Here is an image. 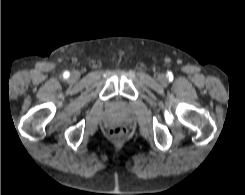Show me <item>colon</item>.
<instances>
[{
	"instance_id": "colon-1",
	"label": "colon",
	"mask_w": 245,
	"mask_h": 195,
	"mask_svg": "<svg viewBox=\"0 0 245 195\" xmlns=\"http://www.w3.org/2000/svg\"><path fill=\"white\" fill-rule=\"evenodd\" d=\"M110 134L113 137H122L126 134V129L123 127H116L110 131Z\"/></svg>"
}]
</instances>
